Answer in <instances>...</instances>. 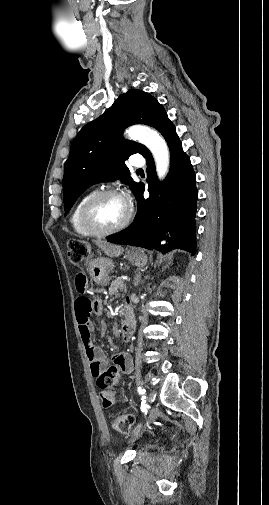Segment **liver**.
<instances>
[{"label": "liver", "mask_w": 269, "mask_h": 505, "mask_svg": "<svg viewBox=\"0 0 269 505\" xmlns=\"http://www.w3.org/2000/svg\"><path fill=\"white\" fill-rule=\"evenodd\" d=\"M95 243L104 251V253L109 257H118L123 252L124 249L118 245L108 244L102 241H95Z\"/></svg>", "instance_id": "liver-1"}]
</instances>
